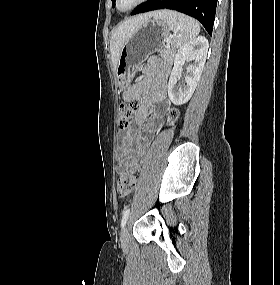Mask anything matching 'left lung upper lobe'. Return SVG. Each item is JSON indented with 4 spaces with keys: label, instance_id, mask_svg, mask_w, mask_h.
Instances as JSON below:
<instances>
[{
    "label": "left lung upper lobe",
    "instance_id": "obj_1",
    "mask_svg": "<svg viewBox=\"0 0 280 285\" xmlns=\"http://www.w3.org/2000/svg\"><path fill=\"white\" fill-rule=\"evenodd\" d=\"M112 2H113V7H114V5H115V0H112Z\"/></svg>",
    "mask_w": 280,
    "mask_h": 285
}]
</instances>
